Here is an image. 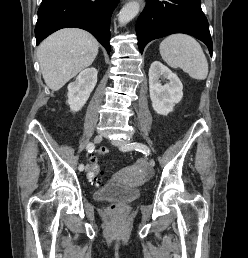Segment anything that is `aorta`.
<instances>
[{
	"label": "aorta",
	"mask_w": 248,
	"mask_h": 258,
	"mask_svg": "<svg viewBox=\"0 0 248 258\" xmlns=\"http://www.w3.org/2000/svg\"><path fill=\"white\" fill-rule=\"evenodd\" d=\"M139 8V3L136 1L126 4L119 13V23L125 25L130 22L138 14Z\"/></svg>",
	"instance_id": "aorta-1"
}]
</instances>
